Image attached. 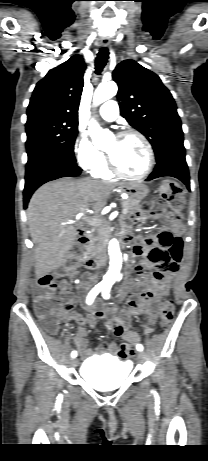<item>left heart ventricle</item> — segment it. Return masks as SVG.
I'll list each match as a JSON object with an SVG mask.
<instances>
[{"label": "left heart ventricle", "instance_id": "b2bd125f", "mask_svg": "<svg viewBox=\"0 0 208 461\" xmlns=\"http://www.w3.org/2000/svg\"><path fill=\"white\" fill-rule=\"evenodd\" d=\"M117 166L125 173L139 175L147 167L148 154L139 138L129 136L123 139L112 138L105 148Z\"/></svg>", "mask_w": 208, "mask_h": 461}]
</instances>
